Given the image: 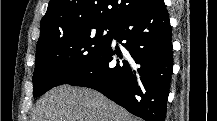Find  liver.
Instances as JSON below:
<instances>
[{"mask_svg":"<svg viewBox=\"0 0 217 121\" xmlns=\"http://www.w3.org/2000/svg\"><path fill=\"white\" fill-rule=\"evenodd\" d=\"M34 121H135L122 107L88 88L61 85L36 102Z\"/></svg>","mask_w":217,"mask_h":121,"instance_id":"liver-1","label":"liver"}]
</instances>
